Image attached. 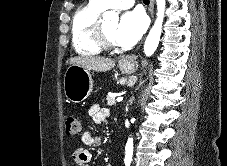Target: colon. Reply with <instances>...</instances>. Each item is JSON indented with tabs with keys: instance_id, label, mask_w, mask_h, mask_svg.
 <instances>
[{
	"instance_id": "5ec220e1",
	"label": "colon",
	"mask_w": 227,
	"mask_h": 166,
	"mask_svg": "<svg viewBox=\"0 0 227 166\" xmlns=\"http://www.w3.org/2000/svg\"><path fill=\"white\" fill-rule=\"evenodd\" d=\"M66 133L69 136L78 134L83 128V122L79 115L69 114L65 118Z\"/></svg>"
}]
</instances>
